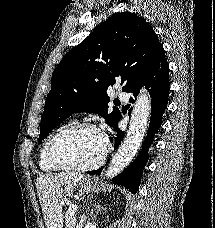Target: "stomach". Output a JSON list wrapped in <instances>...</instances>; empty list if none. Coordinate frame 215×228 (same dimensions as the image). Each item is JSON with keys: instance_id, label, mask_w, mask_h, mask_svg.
<instances>
[{"instance_id": "0dacf381", "label": "stomach", "mask_w": 215, "mask_h": 228, "mask_svg": "<svg viewBox=\"0 0 215 228\" xmlns=\"http://www.w3.org/2000/svg\"><path fill=\"white\" fill-rule=\"evenodd\" d=\"M96 186H98V182H92L90 178H85V180H81V182L65 186L63 196H72L74 188H79V192H81V194H91Z\"/></svg>"}]
</instances>
